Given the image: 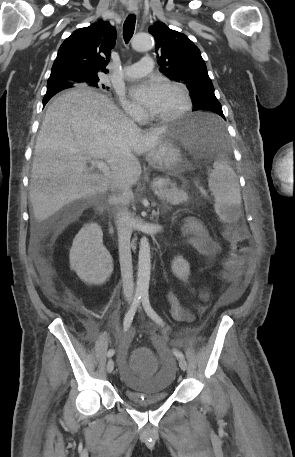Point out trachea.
<instances>
[{
	"label": "trachea",
	"instance_id": "3493384b",
	"mask_svg": "<svg viewBox=\"0 0 295 457\" xmlns=\"http://www.w3.org/2000/svg\"><path fill=\"white\" fill-rule=\"evenodd\" d=\"M136 16L130 14L124 22L123 25V38L126 43L130 41L135 30Z\"/></svg>",
	"mask_w": 295,
	"mask_h": 457
}]
</instances>
